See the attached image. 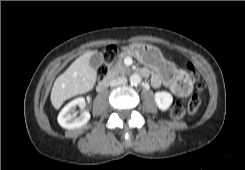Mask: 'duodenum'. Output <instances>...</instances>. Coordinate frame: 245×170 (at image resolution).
Returning <instances> with one entry per match:
<instances>
[{"label": "duodenum", "mask_w": 245, "mask_h": 170, "mask_svg": "<svg viewBox=\"0 0 245 170\" xmlns=\"http://www.w3.org/2000/svg\"><path fill=\"white\" fill-rule=\"evenodd\" d=\"M109 85V78H105L102 81H100L97 85V91L102 92L104 91L107 86Z\"/></svg>", "instance_id": "obj_1"}]
</instances>
